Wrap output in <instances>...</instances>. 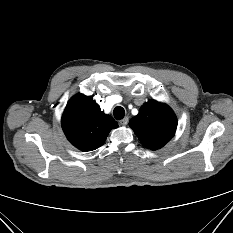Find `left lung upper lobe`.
<instances>
[{"instance_id":"left-lung-upper-lobe-1","label":"left lung upper lobe","mask_w":233,"mask_h":233,"mask_svg":"<svg viewBox=\"0 0 233 233\" xmlns=\"http://www.w3.org/2000/svg\"><path fill=\"white\" fill-rule=\"evenodd\" d=\"M129 125L145 147L157 150L174 136L177 119L169 106L150 100L141 106Z\"/></svg>"}]
</instances>
